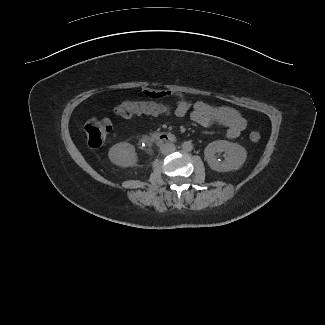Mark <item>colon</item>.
Wrapping results in <instances>:
<instances>
[{
  "mask_svg": "<svg viewBox=\"0 0 325 325\" xmlns=\"http://www.w3.org/2000/svg\"><path fill=\"white\" fill-rule=\"evenodd\" d=\"M116 113L125 119H130L135 115H146L151 117L176 116L177 106L155 100L149 101H127L116 107ZM112 129L111 122L108 119H89L85 126L84 132L87 143L92 149H100L108 134ZM249 138L252 142H258L261 138L260 133L253 131Z\"/></svg>",
  "mask_w": 325,
  "mask_h": 325,
  "instance_id": "5ec220e1",
  "label": "colon"
}]
</instances>
